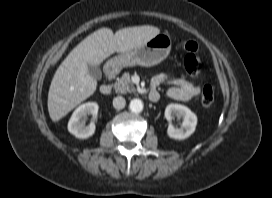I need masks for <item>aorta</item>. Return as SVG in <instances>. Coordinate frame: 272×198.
<instances>
[{
	"label": "aorta",
	"instance_id": "1",
	"mask_svg": "<svg viewBox=\"0 0 272 198\" xmlns=\"http://www.w3.org/2000/svg\"><path fill=\"white\" fill-rule=\"evenodd\" d=\"M143 102L140 99H133L129 104V108L134 113H140L143 110Z\"/></svg>",
	"mask_w": 272,
	"mask_h": 198
}]
</instances>
